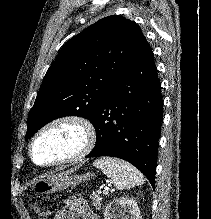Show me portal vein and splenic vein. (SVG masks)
<instances>
[{
  "label": "portal vein and splenic vein",
  "mask_w": 211,
  "mask_h": 219,
  "mask_svg": "<svg viewBox=\"0 0 211 219\" xmlns=\"http://www.w3.org/2000/svg\"><path fill=\"white\" fill-rule=\"evenodd\" d=\"M101 192H103L104 194H107V193H108V190H107V189L98 190V193H101Z\"/></svg>",
  "instance_id": "obj_1"
}]
</instances>
